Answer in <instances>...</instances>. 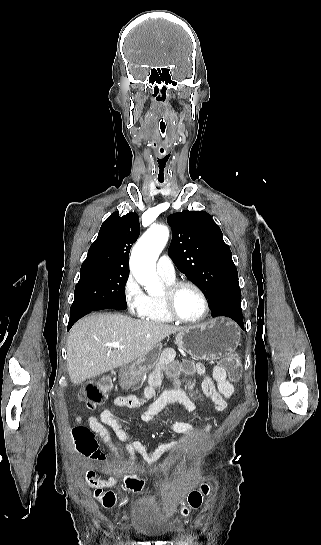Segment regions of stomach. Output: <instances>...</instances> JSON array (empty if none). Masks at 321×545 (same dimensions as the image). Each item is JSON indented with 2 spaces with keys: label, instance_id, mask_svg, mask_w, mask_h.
<instances>
[{
  "label": "stomach",
  "instance_id": "stomach-1",
  "mask_svg": "<svg viewBox=\"0 0 321 545\" xmlns=\"http://www.w3.org/2000/svg\"><path fill=\"white\" fill-rule=\"evenodd\" d=\"M241 331L230 319L217 317L206 321L202 325H194V327H185L183 331H179L175 337V343L178 349H182L193 359H205V361H214L220 359L227 353H233L240 343ZM161 345H156L147 355H142L139 359H135L132 363L120 367V379H124L123 383H127L129 377L136 375H144L151 369H154L158 363L161 353Z\"/></svg>",
  "mask_w": 321,
  "mask_h": 545
}]
</instances>
